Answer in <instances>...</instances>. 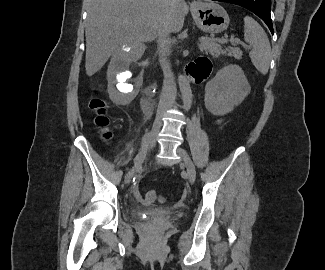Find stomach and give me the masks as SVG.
I'll return each mask as SVG.
<instances>
[{
    "label": "stomach",
    "instance_id": "0dacf381",
    "mask_svg": "<svg viewBox=\"0 0 325 270\" xmlns=\"http://www.w3.org/2000/svg\"><path fill=\"white\" fill-rule=\"evenodd\" d=\"M191 12L196 25L204 32H222L230 22L224 8L215 3H197Z\"/></svg>",
    "mask_w": 325,
    "mask_h": 270
}]
</instances>
